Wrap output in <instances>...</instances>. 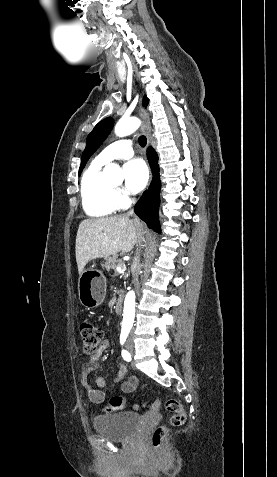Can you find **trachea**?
<instances>
[{
  "label": "trachea",
  "mask_w": 277,
  "mask_h": 477,
  "mask_svg": "<svg viewBox=\"0 0 277 477\" xmlns=\"http://www.w3.org/2000/svg\"><path fill=\"white\" fill-rule=\"evenodd\" d=\"M138 142H139L141 147H144L147 143V139L144 135H142V136L139 137Z\"/></svg>",
  "instance_id": "trachea-1"
}]
</instances>
